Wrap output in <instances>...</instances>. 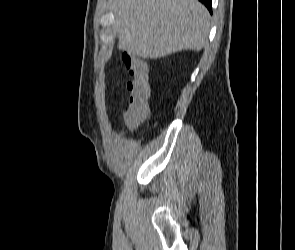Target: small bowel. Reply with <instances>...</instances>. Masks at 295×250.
Here are the masks:
<instances>
[{
    "mask_svg": "<svg viewBox=\"0 0 295 250\" xmlns=\"http://www.w3.org/2000/svg\"><path fill=\"white\" fill-rule=\"evenodd\" d=\"M122 65L132 77H144L148 79V64L133 54H123Z\"/></svg>",
    "mask_w": 295,
    "mask_h": 250,
    "instance_id": "c3829d8e",
    "label": "small bowel"
}]
</instances>
